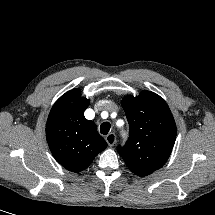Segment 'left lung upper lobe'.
Returning a JSON list of instances; mask_svg holds the SVG:
<instances>
[{
    "label": "left lung upper lobe",
    "instance_id": "obj_1",
    "mask_svg": "<svg viewBox=\"0 0 215 215\" xmlns=\"http://www.w3.org/2000/svg\"><path fill=\"white\" fill-rule=\"evenodd\" d=\"M130 126V137L117 151L128 168L140 177L161 168L169 158L176 139V124L167 103L144 90L121 101Z\"/></svg>",
    "mask_w": 215,
    "mask_h": 215
}]
</instances>
